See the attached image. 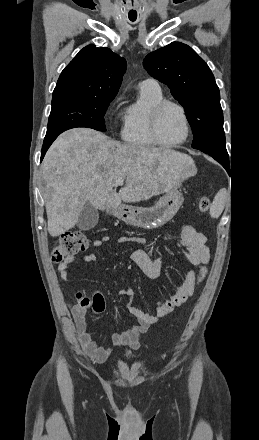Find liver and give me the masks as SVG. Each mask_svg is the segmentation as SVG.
<instances>
[{
  "instance_id": "6515ba94",
  "label": "liver",
  "mask_w": 259,
  "mask_h": 440,
  "mask_svg": "<svg viewBox=\"0 0 259 440\" xmlns=\"http://www.w3.org/2000/svg\"><path fill=\"white\" fill-rule=\"evenodd\" d=\"M193 159L168 148L122 144L89 128L62 133L42 163L48 232L73 228L86 202L99 210L148 200L196 174ZM125 185L117 193L114 182Z\"/></svg>"
}]
</instances>
